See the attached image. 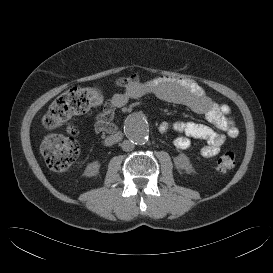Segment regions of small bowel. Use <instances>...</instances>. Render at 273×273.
<instances>
[{
	"mask_svg": "<svg viewBox=\"0 0 273 273\" xmlns=\"http://www.w3.org/2000/svg\"><path fill=\"white\" fill-rule=\"evenodd\" d=\"M116 85L122 91L114 94L103 110L96 116L95 128L99 132L110 129L116 109L124 107L129 101L145 96H155L163 101L184 105L192 111L204 115L206 120L231 138L238 136L237 128L226 116V108L219 106L206 95L204 90L192 79L179 76H158L141 80L137 75L119 78ZM175 131L180 135L174 145L180 150L191 147V138L206 141L200 149L203 157L216 156L225 142L226 136L208 125L189 121H163L159 124L161 133Z\"/></svg>",
	"mask_w": 273,
	"mask_h": 273,
	"instance_id": "1",
	"label": "small bowel"
}]
</instances>
